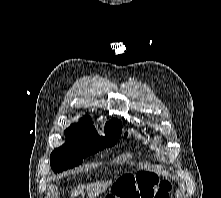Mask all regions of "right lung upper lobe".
<instances>
[{
  "label": "right lung upper lobe",
  "instance_id": "obj_1",
  "mask_svg": "<svg viewBox=\"0 0 221 198\" xmlns=\"http://www.w3.org/2000/svg\"><path fill=\"white\" fill-rule=\"evenodd\" d=\"M105 131L121 132V122L117 119H112L106 123ZM96 133L95 127L92 125V120L89 116H84L78 124L71 125L65 131L66 137H87Z\"/></svg>",
  "mask_w": 221,
  "mask_h": 198
}]
</instances>
